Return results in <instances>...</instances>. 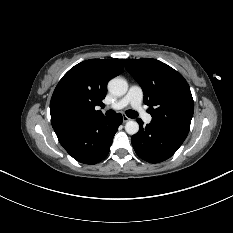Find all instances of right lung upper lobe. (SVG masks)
I'll list each match as a JSON object with an SVG mask.
<instances>
[{"label":"right lung upper lobe","mask_w":233,"mask_h":233,"mask_svg":"<svg viewBox=\"0 0 233 233\" xmlns=\"http://www.w3.org/2000/svg\"><path fill=\"white\" fill-rule=\"evenodd\" d=\"M119 59H90L71 68L56 86L50 103L55 129L87 118L101 116L109 79L123 71Z\"/></svg>","instance_id":"1"}]
</instances>
